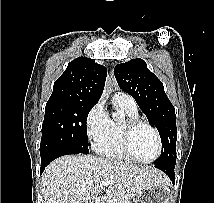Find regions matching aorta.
Returning a JSON list of instances; mask_svg holds the SVG:
<instances>
[{
	"mask_svg": "<svg viewBox=\"0 0 214 203\" xmlns=\"http://www.w3.org/2000/svg\"><path fill=\"white\" fill-rule=\"evenodd\" d=\"M112 116H113V118H115V117H117V114L113 113Z\"/></svg>",
	"mask_w": 214,
	"mask_h": 203,
	"instance_id": "aorta-1",
	"label": "aorta"
}]
</instances>
